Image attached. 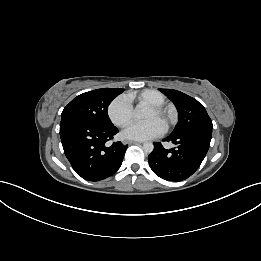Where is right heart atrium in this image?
Masks as SVG:
<instances>
[{"label":"right heart atrium","mask_w":261,"mask_h":261,"mask_svg":"<svg viewBox=\"0 0 261 261\" xmlns=\"http://www.w3.org/2000/svg\"><path fill=\"white\" fill-rule=\"evenodd\" d=\"M107 114L115 126H127L133 117V107L128 97L120 95L114 98L108 106Z\"/></svg>","instance_id":"obj_1"}]
</instances>
